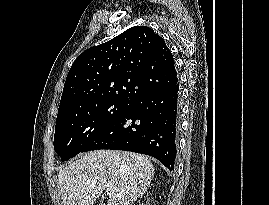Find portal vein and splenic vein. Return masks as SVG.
<instances>
[{"label": "portal vein and splenic vein", "instance_id": "1", "mask_svg": "<svg viewBox=\"0 0 269 205\" xmlns=\"http://www.w3.org/2000/svg\"><path fill=\"white\" fill-rule=\"evenodd\" d=\"M106 193H107V195H111L112 194V190L111 189H107L106 190Z\"/></svg>", "mask_w": 269, "mask_h": 205}]
</instances>
